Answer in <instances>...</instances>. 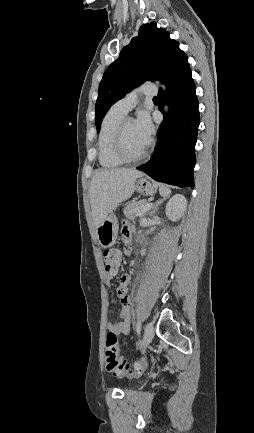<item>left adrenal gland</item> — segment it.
Wrapping results in <instances>:
<instances>
[{
  "label": "left adrenal gland",
  "mask_w": 254,
  "mask_h": 433,
  "mask_svg": "<svg viewBox=\"0 0 254 433\" xmlns=\"http://www.w3.org/2000/svg\"><path fill=\"white\" fill-rule=\"evenodd\" d=\"M167 198H169V195L165 196V197L162 198V199L157 200L156 203L154 204V206H153V208H152L150 214H155V213L157 212V210H158L159 205H160L164 200H166Z\"/></svg>",
  "instance_id": "1"
}]
</instances>
